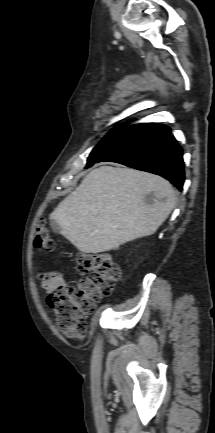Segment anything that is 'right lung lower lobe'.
I'll return each mask as SVG.
<instances>
[{
	"label": "right lung lower lobe",
	"mask_w": 215,
	"mask_h": 433,
	"mask_svg": "<svg viewBox=\"0 0 215 433\" xmlns=\"http://www.w3.org/2000/svg\"><path fill=\"white\" fill-rule=\"evenodd\" d=\"M182 155L170 128L149 123L128 145L103 161L160 175L181 191L185 179Z\"/></svg>",
	"instance_id": "obj_1"
}]
</instances>
